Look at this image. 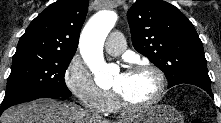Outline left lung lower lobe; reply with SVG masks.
<instances>
[{
	"mask_svg": "<svg viewBox=\"0 0 221 123\" xmlns=\"http://www.w3.org/2000/svg\"><path fill=\"white\" fill-rule=\"evenodd\" d=\"M185 83L186 84H192V85H195V86H198V87L202 88L213 98V94H212V91H211L210 84L202 83V82H198V81H188V82H185Z\"/></svg>",
	"mask_w": 221,
	"mask_h": 123,
	"instance_id": "1",
	"label": "left lung lower lobe"
}]
</instances>
